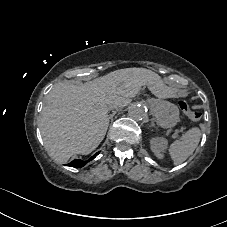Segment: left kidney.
I'll list each match as a JSON object with an SVG mask.
<instances>
[{"mask_svg": "<svg viewBox=\"0 0 227 227\" xmlns=\"http://www.w3.org/2000/svg\"><path fill=\"white\" fill-rule=\"evenodd\" d=\"M151 149L156 154L157 158H161L162 155L160 154V150L162 147L166 145L165 139H152L151 142Z\"/></svg>", "mask_w": 227, "mask_h": 227, "instance_id": "5707ae66", "label": "left kidney"}]
</instances>
